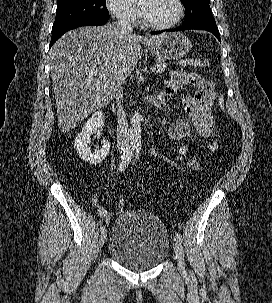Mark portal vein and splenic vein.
Segmentation results:
<instances>
[{"instance_id": "18ae733b", "label": "portal vein and splenic vein", "mask_w": 272, "mask_h": 303, "mask_svg": "<svg viewBox=\"0 0 272 303\" xmlns=\"http://www.w3.org/2000/svg\"><path fill=\"white\" fill-rule=\"evenodd\" d=\"M150 71H151L152 73H154V72L156 71V68L152 67V68L150 69Z\"/></svg>"}]
</instances>
